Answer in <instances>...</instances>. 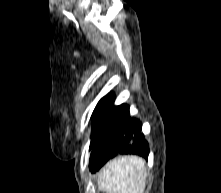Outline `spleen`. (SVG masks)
Masks as SVG:
<instances>
[{
    "instance_id": "3e777b00",
    "label": "spleen",
    "mask_w": 221,
    "mask_h": 193,
    "mask_svg": "<svg viewBox=\"0 0 221 193\" xmlns=\"http://www.w3.org/2000/svg\"><path fill=\"white\" fill-rule=\"evenodd\" d=\"M145 162L137 156L110 161L98 175V188L107 193H144Z\"/></svg>"
}]
</instances>
